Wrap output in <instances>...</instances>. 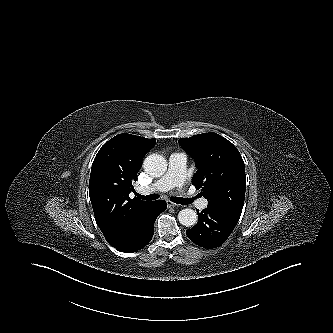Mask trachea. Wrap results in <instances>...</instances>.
I'll return each mask as SVG.
<instances>
[{
    "instance_id": "3493384b",
    "label": "trachea",
    "mask_w": 333,
    "mask_h": 333,
    "mask_svg": "<svg viewBox=\"0 0 333 333\" xmlns=\"http://www.w3.org/2000/svg\"><path fill=\"white\" fill-rule=\"evenodd\" d=\"M136 196L142 200H147V201H152V200H156L159 198V195H157V194H151V195H147V196L136 194ZM170 200L174 203L182 204V205H188V204L192 203L191 198L188 199V198H182V197H171Z\"/></svg>"
}]
</instances>
